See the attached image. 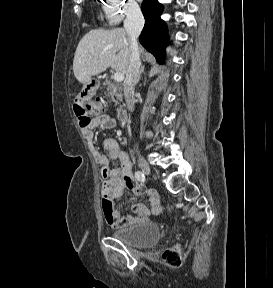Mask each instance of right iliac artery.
Segmentation results:
<instances>
[{"instance_id": "1", "label": "right iliac artery", "mask_w": 273, "mask_h": 288, "mask_svg": "<svg viewBox=\"0 0 273 288\" xmlns=\"http://www.w3.org/2000/svg\"><path fill=\"white\" fill-rule=\"evenodd\" d=\"M135 178H136L138 181L143 182V181L145 180V175H144V173H142L141 171H137V172H135Z\"/></svg>"}]
</instances>
